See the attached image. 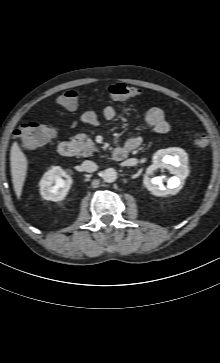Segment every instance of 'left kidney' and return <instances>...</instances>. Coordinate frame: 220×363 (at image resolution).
Wrapping results in <instances>:
<instances>
[{"instance_id":"obj_1","label":"left kidney","mask_w":220,"mask_h":363,"mask_svg":"<svg viewBox=\"0 0 220 363\" xmlns=\"http://www.w3.org/2000/svg\"><path fill=\"white\" fill-rule=\"evenodd\" d=\"M152 160L153 164L147 167L144 175L145 187L155 196L162 197L168 194H176L189 174L187 154L177 148L162 149L153 155ZM158 168H165L175 175L168 179L167 187L163 185L161 177L150 178Z\"/></svg>"}]
</instances>
